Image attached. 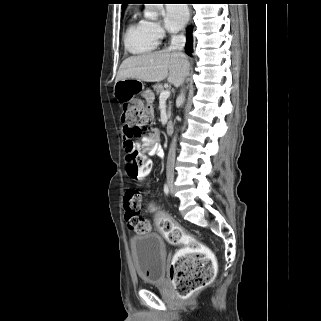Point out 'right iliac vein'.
Listing matches in <instances>:
<instances>
[{
	"instance_id": "obj_1",
	"label": "right iliac vein",
	"mask_w": 321,
	"mask_h": 321,
	"mask_svg": "<svg viewBox=\"0 0 321 321\" xmlns=\"http://www.w3.org/2000/svg\"><path fill=\"white\" fill-rule=\"evenodd\" d=\"M167 183H168L170 192L173 194L174 193V177H173V175L168 174Z\"/></svg>"
}]
</instances>
